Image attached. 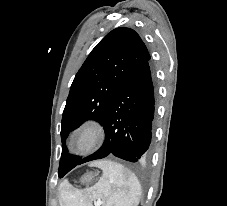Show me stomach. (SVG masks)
Returning <instances> with one entry per match:
<instances>
[{"label":"stomach","instance_id":"1","mask_svg":"<svg viewBox=\"0 0 227 206\" xmlns=\"http://www.w3.org/2000/svg\"><path fill=\"white\" fill-rule=\"evenodd\" d=\"M96 173L89 172L82 176L81 178V184L83 185H89L92 184L95 181Z\"/></svg>","mask_w":227,"mask_h":206}]
</instances>
